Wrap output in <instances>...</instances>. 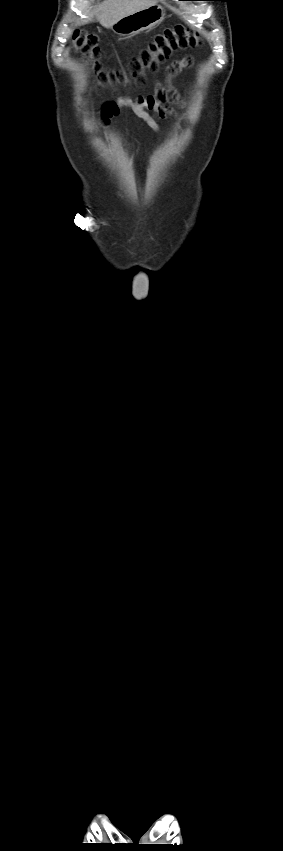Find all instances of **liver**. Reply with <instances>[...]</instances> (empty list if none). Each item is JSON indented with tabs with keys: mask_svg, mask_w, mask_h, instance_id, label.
<instances>
[{
	"mask_svg": "<svg viewBox=\"0 0 283 851\" xmlns=\"http://www.w3.org/2000/svg\"><path fill=\"white\" fill-rule=\"evenodd\" d=\"M156 4V0H104L96 11V19L105 28L119 19ZM93 14L89 15L92 20Z\"/></svg>",
	"mask_w": 283,
	"mask_h": 851,
	"instance_id": "1",
	"label": "liver"
}]
</instances>
